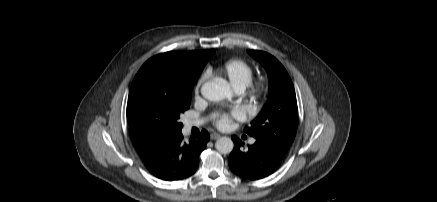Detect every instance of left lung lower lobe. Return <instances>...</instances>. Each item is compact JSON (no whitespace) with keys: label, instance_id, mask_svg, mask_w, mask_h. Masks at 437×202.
Segmentation results:
<instances>
[{"label":"left lung lower lobe","instance_id":"1","mask_svg":"<svg viewBox=\"0 0 437 202\" xmlns=\"http://www.w3.org/2000/svg\"><path fill=\"white\" fill-rule=\"evenodd\" d=\"M232 140L234 149L228 158L229 167L242 178L262 179L275 172L281 164L283 157L257 140L247 149L238 137L233 136Z\"/></svg>","mask_w":437,"mask_h":202}]
</instances>
